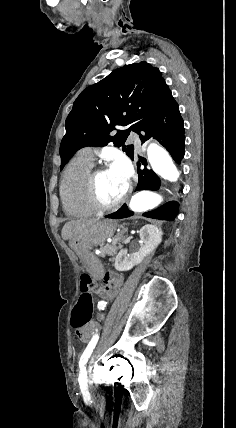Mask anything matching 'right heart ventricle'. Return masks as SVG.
Returning a JSON list of instances; mask_svg holds the SVG:
<instances>
[{
  "label": "right heart ventricle",
  "instance_id": "1",
  "mask_svg": "<svg viewBox=\"0 0 236 428\" xmlns=\"http://www.w3.org/2000/svg\"><path fill=\"white\" fill-rule=\"evenodd\" d=\"M128 165L129 163L124 160ZM94 159L88 150L78 152L68 165L60 185V194L65 211L74 217H88L96 210L88 201L86 182L93 171Z\"/></svg>",
  "mask_w": 236,
  "mask_h": 428
}]
</instances>
